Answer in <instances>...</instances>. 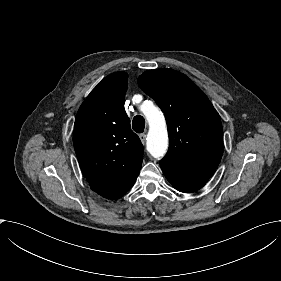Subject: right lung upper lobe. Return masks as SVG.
Wrapping results in <instances>:
<instances>
[{
  "label": "right lung upper lobe",
  "mask_w": 281,
  "mask_h": 281,
  "mask_svg": "<svg viewBox=\"0 0 281 281\" xmlns=\"http://www.w3.org/2000/svg\"><path fill=\"white\" fill-rule=\"evenodd\" d=\"M128 75L115 72L105 77L78 110L73 144L89 186L112 198L140 171L143 146L131 130L124 110Z\"/></svg>",
  "instance_id": "1"
}]
</instances>
